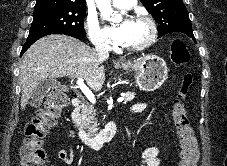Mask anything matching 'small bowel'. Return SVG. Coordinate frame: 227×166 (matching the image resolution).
<instances>
[{"label":"small bowel","mask_w":227,"mask_h":166,"mask_svg":"<svg viewBox=\"0 0 227 166\" xmlns=\"http://www.w3.org/2000/svg\"><path fill=\"white\" fill-rule=\"evenodd\" d=\"M144 109H145V105L142 103H138L133 105L132 112L138 113V112H142ZM58 157L63 162L70 164L73 162L75 158V150L72 149L68 151L64 148H61L58 150ZM159 165H160V161L158 158V148L150 147L144 152L141 162L139 163L138 166H159ZM52 166H55V165H52Z\"/></svg>","instance_id":"1"}]
</instances>
